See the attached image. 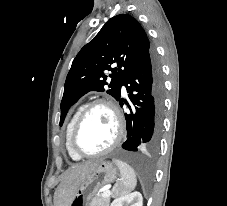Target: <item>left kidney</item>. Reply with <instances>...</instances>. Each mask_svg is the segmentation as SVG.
I'll return each instance as SVG.
<instances>
[{
  "label": "left kidney",
  "mask_w": 227,
  "mask_h": 206,
  "mask_svg": "<svg viewBox=\"0 0 227 206\" xmlns=\"http://www.w3.org/2000/svg\"><path fill=\"white\" fill-rule=\"evenodd\" d=\"M110 206H143L141 193L133 192L113 200Z\"/></svg>",
  "instance_id": "left-kidney-1"
}]
</instances>
